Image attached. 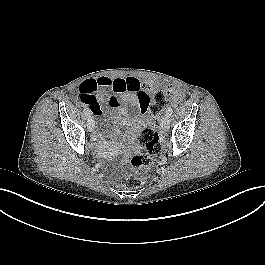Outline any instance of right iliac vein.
Returning a JSON list of instances; mask_svg holds the SVG:
<instances>
[{"instance_id":"63e3f726","label":"right iliac vein","mask_w":265,"mask_h":265,"mask_svg":"<svg viewBox=\"0 0 265 265\" xmlns=\"http://www.w3.org/2000/svg\"><path fill=\"white\" fill-rule=\"evenodd\" d=\"M94 120L91 118V117H89L88 118V121H87V129L90 131V132H92V131H94Z\"/></svg>"}]
</instances>
